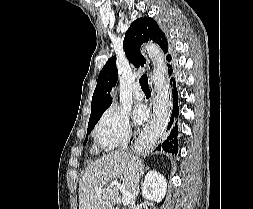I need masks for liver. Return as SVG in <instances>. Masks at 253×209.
<instances>
[{
    "mask_svg": "<svg viewBox=\"0 0 253 209\" xmlns=\"http://www.w3.org/2000/svg\"><path fill=\"white\" fill-rule=\"evenodd\" d=\"M143 167L142 160L130 153L114 151L104 155L88 166L79 182V209H114L119 190L111 184L118 182L133 195L132 175Z\"/></svg>",
    "mask_w": 253,
    "mask_h": 209,
    "instance_id": "obj_1",
    "label": "liver"
}]
</instances>
